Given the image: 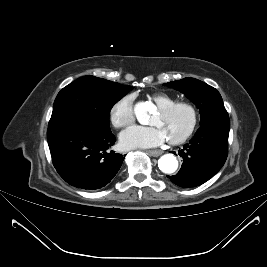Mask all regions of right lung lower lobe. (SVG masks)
I'll use <instances>...</instances> for the list:
<instances>
[{"label":"right lung lower lobe","mask_w":267,"mask_h":267,"mask_svg":"<svg viewBox=\"0 0 267 267\" xmlns=\"http://www.w3.org/2000/svg\"><path fill=\"white\" fill-rule=\"evenodd\" d=\"M47 140L59 175L81 189L104 187L117 174L125 156L108 150L116 141L110 129L81 121L48 128Z\"/></svg>","instance_id":"1"}]
</instances>
